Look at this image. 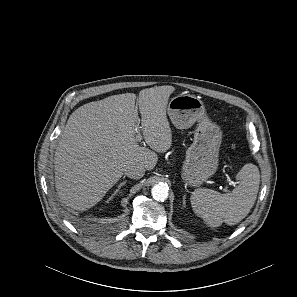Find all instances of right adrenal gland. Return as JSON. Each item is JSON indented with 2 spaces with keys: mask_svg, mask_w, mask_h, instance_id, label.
Instances as JSON below:
<instances>
[{
  "mask_svg": "<svg viewBox=\"0 0 297 297\" xmlns=\"http://www.w3.org/2000/svg\"><path fill=\"white\" fill-rule=\"evenodd\" d=\"M126 183H127L126 180L122 181V182L118 185V188L114 191V193L112 194V196H111L109 199H112V198L118 193V191L121 189V187H122L123 185H125Z\"/></svg>",
  "mask_w": 297,
  "mask_h": 297,
  "instance_id": "1",
  "label": "right adrenal gland"
}]
</instances>
